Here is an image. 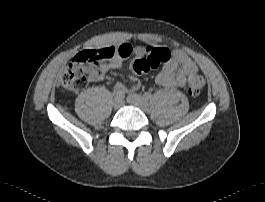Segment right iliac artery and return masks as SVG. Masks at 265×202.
I'll return each instance as SVG.
<instances>
[{
	"instance_id": "82829eb1",
	"label": "right iliac artery",
	"mask_w": 265,
	"mask_h": 202,
	"mask_svg": "<svg viewBox=\"0 0 265 202\" xmlns=\"http://www.w3.org/2000/svg\"><path fill=\"white\" fill-rule=\"evenodd\" d=\"M112 96L114 98H123L124 97V91L122 90H119V89H114L113 92H112Z\"/></svg>"
}]
</instances>
